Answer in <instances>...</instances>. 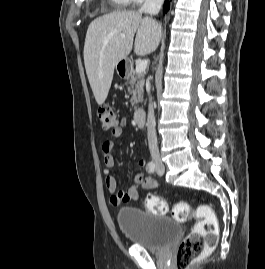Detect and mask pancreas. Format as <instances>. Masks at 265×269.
Here are the masks:
<instances>
[{
    "mask_svg": "<svg viewBox=\"0 0 265 269\" xmlns=\"http://www.w3.org/2000/svg\"><path fill=\"white\" fill-rule=\"evenodd\" d=\"M128 84L131 87L130 93L131 104L134 110L138 109V103L143 101V93H144V78L142 73H137L136 71L130 72V78Z\"/></svg>",
    "mask_w": 265,
    "mask_h": 269,
    "instance_id": "obj_1",
    "label": "pancreas"
}]
</instances>
